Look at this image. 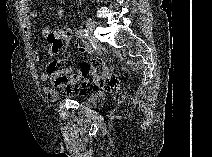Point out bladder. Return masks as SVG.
I'll list each match as a JSON object with an SVG mask.
<instances>
[{
	"mask_svg": "<svg viewBox=\"0 0 212 157\" xmlns=\"http://www.w3.org/2000/svg\"><path fill=\"white\" fill-rule=\"evenodd\" d=\"M107 102V95L102 92L93 91L84 95L83 104L89 108L98 109Z\"/></svg>",
	"mask_w": 212,
	"mask_h": 157,
	"instance_id": "1",
	"label": "bladder"
}]
</instances>
